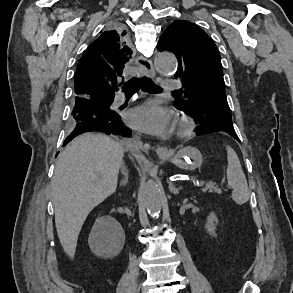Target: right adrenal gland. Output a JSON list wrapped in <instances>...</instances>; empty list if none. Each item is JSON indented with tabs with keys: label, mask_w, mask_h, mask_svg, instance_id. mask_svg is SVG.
Here are the masks:
<instances>
[{
	"label": "right adrenal gland",
	"mask_w": 293,
	"mask_h": 293,
	"mask_svg": "<svg viewBox=\"0 0 293 293\" xmlns=\"http://www.w3.org/2000/svg\"><path fill=\"white\" fill-rule=\"evenodd\" d=\"M121 172L124 176V179H122L120 181V186H126V184L128 182V171H127V168H126L124 162H122V165H121Z\"/></svg>",
	"instance_id": "obj_1"
}]
</instances>
